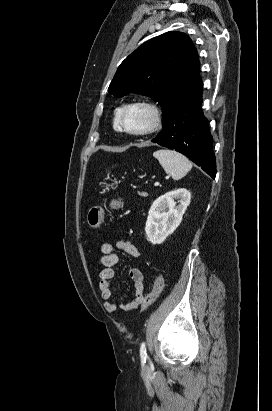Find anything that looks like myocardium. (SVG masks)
I'll return each mask as SVG.
<instances>
[{"label": "myocardium", "mask_w": 272, "mask_h": 411, "mask_svg": "<svg viewBox=\"0 0 272 411\" xmlns=\"http://www.w3.org/2000/svg\"><path fill=\"white\" fill-rule=\"evenodd\" d=\"M132 108H143L149 113L150 121L146 127L140 130H130L125 126L124 115L128 110ZM161 122H162V116H161L159 108L155 104L148 102V101H144V100L131 101L125 104L121 108L119 112V116H118V126H119L120 131L127 135L137 136V137L147 136V135H150L156 132L160 128Z\"/></svg>", "instance_id": "myocardium-1"}]
</instances>
